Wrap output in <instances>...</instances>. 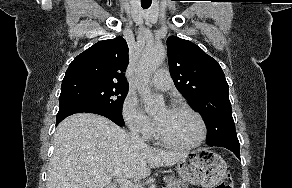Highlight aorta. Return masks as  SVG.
Instances as JSON below:
<instances>
[{
  "label": "aorta",
  "mask_w": 292,
  "mask_h": 188,
  "mask_svg": "<svg viewBox=\"0 0 292 188\" xmlns=\"http://www.w3.org/2000/svg\"><path fill=\"white\" fill-rule=\"evenodd\" d=\"M166 57V49L162 44H152L142 53L138 66V75L141 80L139 93L148 105L150 111H156L164 104L161 97L152 94L149 79Z\"/></svg>",
  "instance_id": "obj_1"
}]
</instances>
